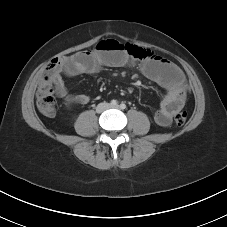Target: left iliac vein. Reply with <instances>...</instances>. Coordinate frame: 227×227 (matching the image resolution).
<instances>
[{
  "mask_svg": "<svg viewBox=\"0 0 227 227\" xmlns=\"http://www.w3.org/2000/svg\"><path fill=\"white\" fill-rule=\"evenodd\" d=\"M111 108H116V109H118L119 106H118V105H116V106H111Z\"/></svg>",
  "mask_w": 227,
  "mask_h": 227,
  "instance_id": "4c4485c4",
  "label": "left iliac vein"
}]
</instances>
